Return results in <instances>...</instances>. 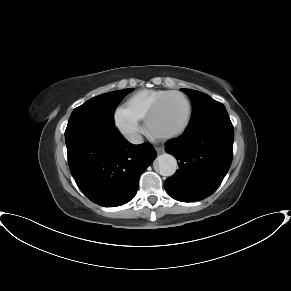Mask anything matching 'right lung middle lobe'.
<instances>
[{
  "mask_svg": "<svg viewBox=\"0 0 291 291\" xmlns=\"http://www.w3.org/2000/svg\"><path fill=\"white\" fill-rule=\"evenodd\" d=\"M133 89L112 91L94 97L81 106L75 108L71 113L69 122L75 120L99 121L107 124H114V111L118 103L125 95Z\"/></svg>",
  "mask_w": 291,
  "mask_h": 291,
  "instance_id": "dd1d6c3e",
  "label": "right lung middle lobe"
}]
</instances>
